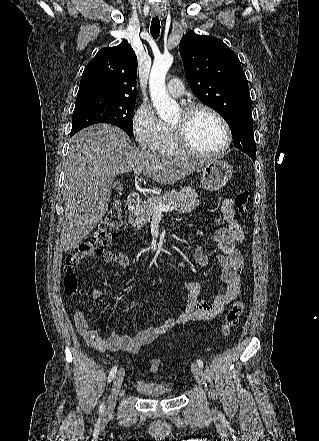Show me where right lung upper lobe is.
<instances>
[{
	"label": "right lung upper lobe",
	"mask_w": 319,
	"mask_h": 441,
	"mask_svg": "<svg viewBox=\"0 0 319 441\" xmlns=\"http://www.w3.org/2000/svg\"><path fill=\"white\" fill-rule=\"evenodd\" d=\"M137 57L127 41L101 49L85 67L77 99L108 98L135 101Z\"/></svg>",
	"instance_id": "1"
}]
</instances>
